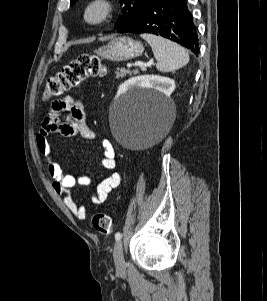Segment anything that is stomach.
Here are the masks:
<instances>
[{"instance_id":"1","label":"stomach","mask_w":267,"mask_h":301,"mask_svg":"<svg viewBox=\"0 0 267 301\" xmlns=\"http://www.w3.org/2000/svg\"><path fill=\"white\" fill-rule=\"evenodd\" d=\"M143 50L144 48L140 41L123 36L112 39L107 45L96 50V54L103 59L120 62L142 55Z\"/></svg>"}]
</instances>
